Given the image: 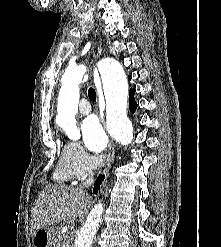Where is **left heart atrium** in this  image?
<instances>
[{"instance_id":"1","label":"left heart atrium","mask_w":221,"mask_h":247,"mask_svg":"<svg viewBox=\"0 0 221 247\" xmlns=\"http://www.w3.org/2000/svg\"><path fill=\"white\" fill-rule=\"evenodd\" d=\"M81 131L85 146L94 153H99L105 149L108 139L99 120L90 116L81 124Z\"/></svg>"}]
</instances>
